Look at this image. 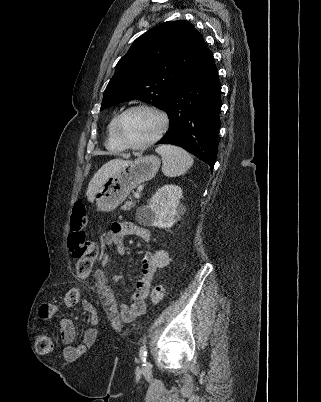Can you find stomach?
<instances>
[{
    "label": "stomach",
    "instance_id": "obj_1",
    "mask_svg": "<svg viewBox=\"0 0 321 402\" xmlns=\"http://www.w3.org/2000/svg\"><path fill=\"white\" fill-rule=\"evenodd\" d=\"M160 164L155 155L141 156L113 173L94 195L97 209L109 212L117 208L134 188L156 175Z\"/></svg>",
    "mask_w": 321,
    "mask_h": 402
}]
</instances>
